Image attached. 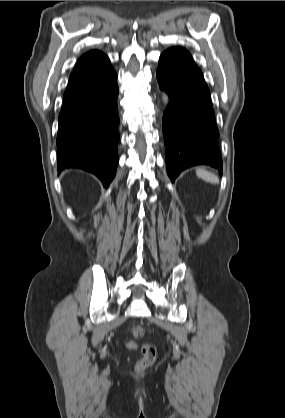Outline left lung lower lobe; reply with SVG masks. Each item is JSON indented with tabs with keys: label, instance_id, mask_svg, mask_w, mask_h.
I'll return each instance as SVG.
<instances>
[{
	"label": "left lung lower lobe",
	"instance_id": "left-lung-lower-lobe-1",
	"mask_svg": "<svg viewBox=\"0 0 285 418\" xmlns=\"http://www.w3.org/2000/svg\"><path fill=\"white\" fill-rule=\"evenodd\" d=\"M157 81L170 98L163 115V135L171 181L193 165L222 170L210 92L190 53L180 46L164 51L159 58Z\"/></svg>",
	"mask_w": 285,
	"mask_h": 418
}]
</instances>
